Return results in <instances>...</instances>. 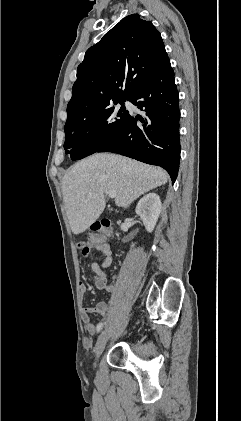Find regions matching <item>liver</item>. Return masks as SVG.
Here are the masks:
<instances>
[{
    "instance_id": "1",
    "label": "liver",
    "mask_w": 241,
    "mask_h": 421,
    "mask_svg": "<svg viewBox=\"0 0 241 421\" xmlns=\"http://www.w3.org/2000/svg\"><path fill=\"white\" fill-rule=\"evenodd\" d=\"M167 181L168 175L161 168L121 155L96 153L77 162L62 181L63 200L73 233L84 232L100 217L108 192L116 193L117 206L127 207Z\"/></svg>"
}]
</instances>
